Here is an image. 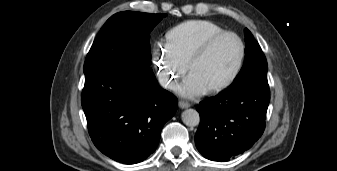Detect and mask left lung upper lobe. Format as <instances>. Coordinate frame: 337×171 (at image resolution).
I'll list each match as a JSON object with an SVG mask.
<instances>
[{"mask_svg": "<svg viewBox=\"0 0 337 171\" xmlns=\"http://www.w3.org/2000/svg\"><path fill=\"white\" fill-rule=\"evenodd\" d=\"M245 61L243 67L234 82L227 88L242 86L251 83L268 85L267 81V61L258 42L254 39L251 32L245 28Z\"/></svg>", "mask_w": 337, "mask_h": 171, "instance_id": "left-lung-upper-lobe-1", "label": "left lung upper lobe"}]
</instances>
